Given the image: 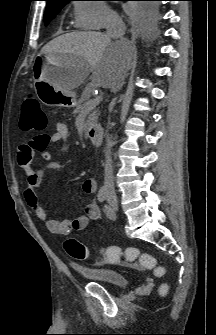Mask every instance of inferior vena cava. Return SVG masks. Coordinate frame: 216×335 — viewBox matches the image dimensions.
I'll list each match as a JSON object with an SVG mask.
<instances>
[{
  "instance_id": "inferior-vena-cava-1",
  "label": "inferior vena cava",
  "mask_w": 216,
  "mask_h": 335,
  "mask_svg": "<svg viewBox=\"0 0 216 335\" xmlns=\"http://www.w3.org/2000/svg\"><path fill=\"white\" fill-rule=\"evenodd\" d=\"M126 31V26L122 19L116 15H111L107 20L106 32L107 36L114 39L123 40V36ZM126 77V72L121 76L120 84L121 86L124 83ZM106 148H105V174H104V186L108 191H114V179H113V167H112V158H111V142L108 137L106 139Z\"/></svg>"
}]
</instances>
